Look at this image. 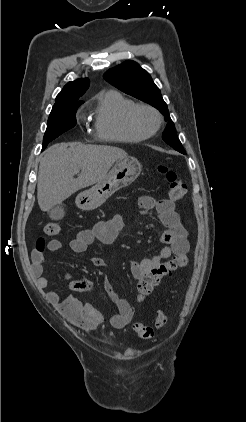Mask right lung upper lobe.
I'll use <instances>...</instances> for the list:
<instances>
[{"label":"right lung upper lobe","mask_w":246,"mask_h":422,"mask_svg":"<svg viewBox=\"0 0 246 422\" xmlns=\"http://www.w3.org/2000/svg\"><path fill=\"white\" fill-rule=\"evenodd\" d=\"M89 87V79H77L67 83L62 91L57 95L55 104L53 107L83 103L84 101L80 100V97L85 93Z\"/></svg>","instance_id":"1"}]
</instances>
